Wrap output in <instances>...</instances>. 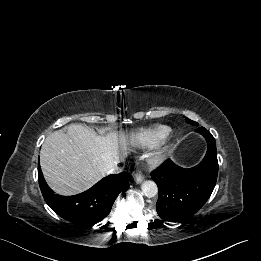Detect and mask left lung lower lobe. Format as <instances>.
Listing matches in <instances>:
<instances>
[{"instance_id":"left-lung-lower-lobe-1","label":"left lung lower lobe","mask_w":261,"mask_h":261,"mask_svg":"<svg viewBox=\"0 0 261 261\" xmlns=\"http://www.w3.org/2000/svg\"><path fill=\"white\" fill-rule=\"evenodd\" d=\"M196 131L208 143L207 153L197 166L185 169L168 159L151 173L159 190L156 210L166 221H178L195 214L215 187L218 174L215 139L204 127Z\"/></svg>"}]
</instances>
